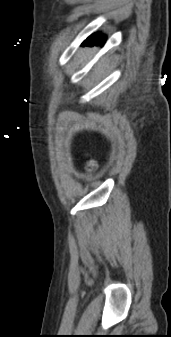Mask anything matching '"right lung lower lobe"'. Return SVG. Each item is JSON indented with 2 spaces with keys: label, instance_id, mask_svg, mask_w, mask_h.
I'll return each mask as SVG.
<instances>
[{
  "label": "right lung lower lobe",
  "instance_id": "1",
  "mask_svg": "<svg viewBox=\"0 0 171 337\" xmlns=\"http://www.w3.org/2000/svg\"><path fill=\"white\" fill-rule=\"evenodd\" d=\"M105 42V39L101 37L100 34H95L91 37H89L86 41L82 43V45L92 46V45H103Z\"/></svg>",
  "mask_w": 171,
  "mask_h": 337
}]
</instances>
